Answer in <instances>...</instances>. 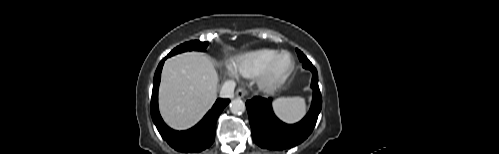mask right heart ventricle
<instances>
[{
    "mask_svg": "<svg viewBox=\"0 0 499 154\" xmlns=\"http://www.w3.org/2000/svg\"><path fill=\"white\" fill-rule=\"evenodd\" d=\"M278 54L274 49L262 48L247 51L232 59L235 72L245 78L258 77L267 67L272 58Z\"/></svg>",
    "mask_w": 499,
    "mask_h": 154,
    "instance_id": "right-heart-ventricle-1",
    "label": "right heart ventricle"
}]
</instances>
